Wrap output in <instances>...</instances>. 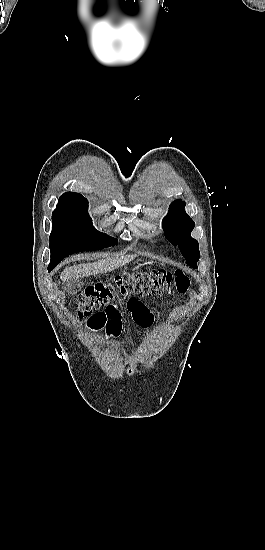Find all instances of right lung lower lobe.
Wrapping results in <instances>:
<instances>
[{
    "instance_id": "right-lung-lower-lobe-1",
    "label": "right lung lower lobe",
    "mask_w": 265,
    "mask_h": 550,
    "mask_svg": "<svg viewBox=\"0 0 265 550\" xmlns=\"http://www.w3.org/2000/svg\"><path fill=\"white\" fill-rule=\"evenodd\" d=\"M54 267H49L48 266V271L50 272Z\"/></svg>"
}]
</instances>
